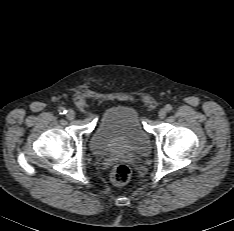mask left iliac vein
I'll return each instance as SVG.
<instances>
[{"mask_svg":"<svg viewBox=\"0 0 234 231\" xmlns=\"http://www.w3.org/2000/svg\"><path fill=\"white\" fill-rule=\"evenodd\" d=\"M167 115V111L163 108V109H160L159 112H158V117L160 119H164Z\"/></svg>","mask_w":234,"mask_h":231,"instance_id":"left-iliac-vein-1","label":"left iliac vein"}]
</instances>
